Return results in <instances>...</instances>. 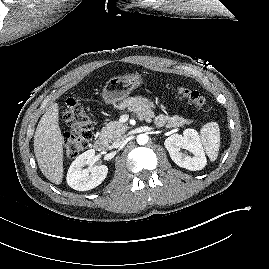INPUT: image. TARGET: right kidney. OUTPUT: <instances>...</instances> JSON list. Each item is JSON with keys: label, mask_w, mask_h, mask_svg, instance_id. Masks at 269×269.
<instances>
[{"label": "right kidney", "mask_w": 269, "mask_h": 269, "mask_svg": "<svg viewBox=\"0 0 269 269\" xmlns=\"http://www.w3.org/2000/svg\"><path fill=\"white\" fill-rule=\"evenodd\" d=\"M95 150L90 149L79 155L70 165L67 173V184L77 191L91 190L100 185L107 176L108 167L100 165L93 167ZM88 165V168H83Z\"/></svg>", "instance_id": "obj_1"}]
</instances>
